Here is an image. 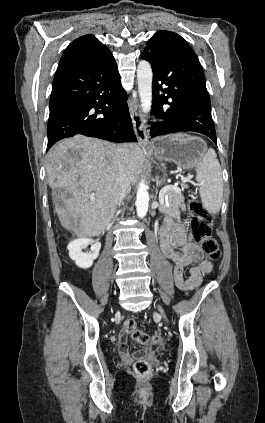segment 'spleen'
<instances>
[{"instance_id":"obj_1","label":"spleen","mask_w":265,"mask_h":423,"mask_svg":"<svg viewBox=\"0 0 265 423\" xmlns=\"http://www.w3.org/2000/svg\"><path fill=\"white\" fill-rule=\"evenodd\" d=\"M187 134L178 133L175 137H184ZM196 181L199 185V194L205 209L211 214L220 211L223 198V179L220 163L216 152L210 148L196 166Z\"/></svg>"}]
</instances>
